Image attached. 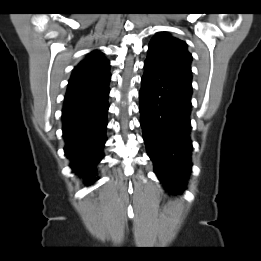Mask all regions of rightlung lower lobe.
<instances>
[{"label": "right lung lower lobe", "instance_id": "obj_1", "mask_svg": "<svg viewBox=\"0 0 261 261\" xmlns=\"http://www.w3.org/2000/svg\"><path fill=\"white\" fill-rule=\"evenodd\" d=\"M108 84L86 91L68 93L62 110L64 152L70 167L86 184L95 181L96 165L102 160L106 142Z\"/></svg>", "mask_w": 261, "mask_h": 261}]
</instances>
